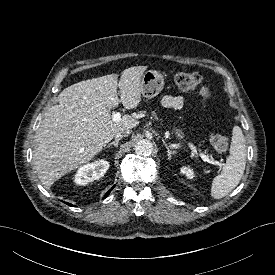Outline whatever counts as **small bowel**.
<instances>
[{"label": "small bowel", "instance_id": "c3829d8e", "mask_svg": "<svg viewBox=\"0 0 275 275\" xmlns=\"http://www.w3.org/2000/svg\"><path fill=\"white\" fill-rule=\"evenodd\" d=\"M161 103L164 107L179 109L184 106L185 101L180 96L165 95L162 97Z\"/></svg>", "mask_w": 275, "mask_h": 275}]
</instances>
